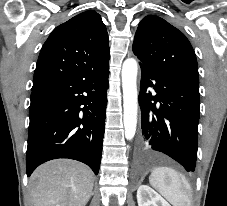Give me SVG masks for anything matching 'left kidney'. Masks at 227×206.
<instances>
[{
  "instance_id": "left-kidney-1",
  "label": "left kidney",
  "mask_w": 227,
  "mask_h": 206,
  "mask_svg": "<svg viewBox=\"0 0 227 206\" xmlns=\"http://www.w3.org/2000/svg\"><path fill=\"white\" fill-rule=\"evenodd\" d=\"M138 206H171L156 191L147 185H140L137 190Z\"/></svg>"
}]
</instances>
